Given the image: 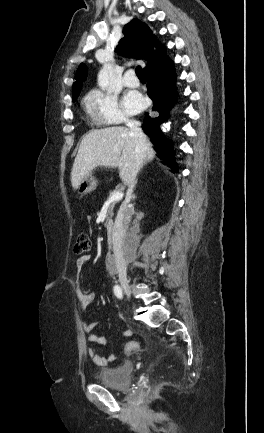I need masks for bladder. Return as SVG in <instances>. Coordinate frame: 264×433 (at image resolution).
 Here are the masks:
<instances>
[{
  "mask_svg": "<svg viewBox=\"0 0 264 433\" xmlns=\"http://www.w3.org/2000/svg\"><path fill=\"white\" fill-rule=\"evenodd\" d=\"M133 366L126 362L115 368H103L99 372V382L103 386L116 389H128L132 381Z\"/></svg>",
  "mask_w": 264,
  "mask_h": 433,
  "instance_id": "obj_1",
  "label": "bladder"
}]
</instances>
